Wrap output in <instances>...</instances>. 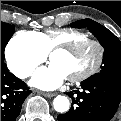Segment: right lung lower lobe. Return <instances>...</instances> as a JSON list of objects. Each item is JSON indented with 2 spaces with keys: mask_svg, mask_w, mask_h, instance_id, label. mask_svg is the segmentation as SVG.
Here are the masks:
<instances>
[{
  "mask_svg": "<svg viewBox=\"0 0 121 121\" xmlns=\"http://www.w3.org/2000/svg\"><path fill=\"white\" fill-rule=\"evenodd\" d=\"M29 93L26 84L10 73L1 61V121H15Z\"/></svg>",
  "mask_w": 121,
  "mask_h": 121,
  "instance_id": "obj_1",
  "label": "right lung lower lobe"
}]
</instances>
